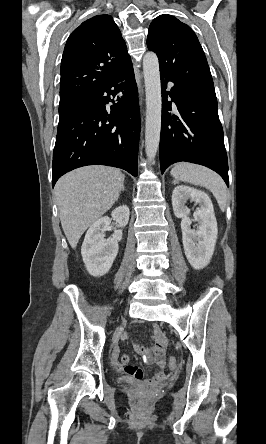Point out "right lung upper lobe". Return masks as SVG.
<instances>
[{"label":"right lung upper lobe","mask_w":266,"mask_h":444,"mask_svg":"<svg viewBox=\"0 0 266 444\" xmlns=\"http://www.w3.org/2000/svg\"><path fill=\"white\" fill-rule=\"evenodd\" d=\"M129 62L125 41L110 15L84 21L64 48L60 99L89 96Z\"/></svg>","instance_id":"right-lung-upper-lobe-1"}]
</instances>
